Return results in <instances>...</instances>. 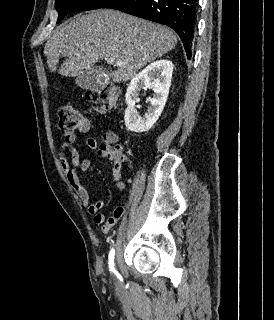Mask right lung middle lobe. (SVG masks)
I'll return each mask as SVG.
<instances>
[{"label":"right lung middle lobe","mask_w":274,"mask_h":320,"mask_svg":"<svg viewBox=\"0 0 274 320\" xmlns=\"http://www.w3.org/2000/svg\"><path fill=\"white\" fill-rule=\"evenodd\" d=\"M111 1L112 0H56L55 8L59 13L57 23L69 12L103 8Z\"/></svg>","instance_id":"dd1d6c3e"}]
</instances>
